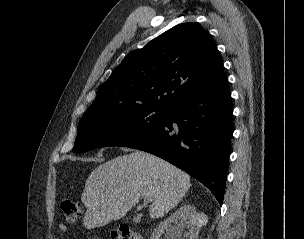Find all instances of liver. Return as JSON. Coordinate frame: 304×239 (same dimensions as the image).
Listing matches in <instances>:
<instances>
[{"mask_svg": "<svg viewBox=\"0 0 304 239\" xmlns=\"http://www.w3.org/2000/svg\"><path fill=\"white\" fill-rule=\"evenodd\" d=\"M190 176L172 164L143 151L118 156L89 175L81 201L84 226L102 227L123 218L141 198L151 202L149 214L162 217L190 188Z\"/></svg>", "mask_w": 304, "mask_h": 239, "instance_id": "obj_1", "label": "liver"}]
</instances>
